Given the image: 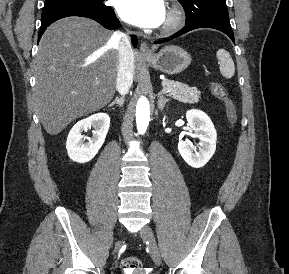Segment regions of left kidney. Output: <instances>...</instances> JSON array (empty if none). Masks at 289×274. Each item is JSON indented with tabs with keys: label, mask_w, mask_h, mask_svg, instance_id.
<instances>
[{
	"label": "left kidney",
	"mask_w": 289,
	"mask_h": 274,
	"mask_svg": "<svg viewBox=\"0 0 289 274\" xmlns=\"http://www.w3.org/2000/svg\"><path fill=\"white\" fill-rule=\"evenodd\" d=\"M186 119L188 126L200 140V147L199 151H196L189 146L187 141H180L178 151L188 165L201 168L211 159L216 150L217 132L208 115L200 110L187 111Z\"/></svg>",
	"instance_id": "obj_1"
}]
</instances>
